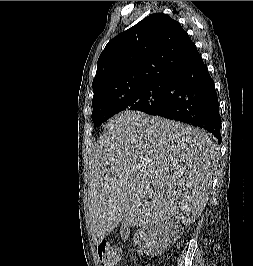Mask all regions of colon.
I'll use <instances>...</instances> for the list:
<instances>
[{
    "label": "colon",
    "mask_w": 253,
    "mask_h": 266,
    "mask_svg": "<svg viewBox=\"0 0 253 266\" xmlns=\"http://www.w3.org/2000/svg\"><path fill=\"white\" fill-rule=\"evenodd\" d=\"M97 255L102 266H118L122 260L121 250L111 241L99 243Z\"/></svg>",
    "instance_id": "1"
}]
</instances>
